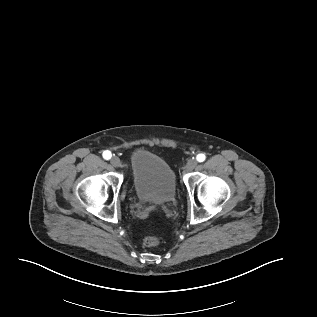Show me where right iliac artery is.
I'll return each mask as SVG.
<instances>
[{
  "instance_id": "1",
  "label": "right iliac artery",
  "mask_w": 317,
  "mask_h": 317,
  "mask_svg": "<svg viewBox=\"0 0 317 317\" xmlns=\"http://www.w3.org/2000/svg\"><path fill=\"white\" fill-rule=\"evenodd\" d=\"M112 154L110 151L106 150L103 152V158L106 160H109L111 158Z\"/></svg>"
}]
</instances>
